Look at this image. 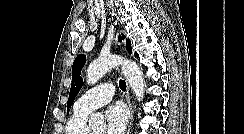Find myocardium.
<instances>
[{
  "label": "myocardium",
  "mask_w": 244,
  "mask_h": 134,
  "mask_svg": "<svg viewBox=\"0 0 244 134\" xmlns=\"http://www.w3.org/2000/svg\"><path fill=\"white\" fill-rule=\"evenodd\" d=\"M88 134H92V132L91 131H88Z\"/></svg>",
  "instance_id": "f54148a6"
}]
</instances>
